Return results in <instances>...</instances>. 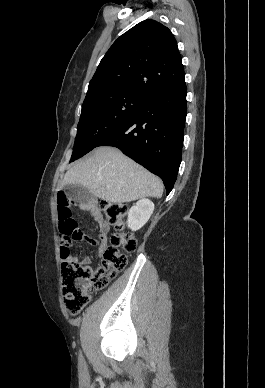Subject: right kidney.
I'll return each mask as SVG.
<instances>
[{
	"label": "right kidney",
	"instance_id": "right-kidney-1",
	"mask_svg": "<svg viewBox=\"0 0 265 388\" xmlns=\"http://www.w3.org/2000/svg\"><path fill=\"white\" fill-rule=\"evenodd\" d=\"M154 212V204L151 200H139L136 202L135 206H132L129 210L128 214V228L132 230V232H136V230H140L146 222H148L150 216H152Z\"/></svg>",
	"mask_w": 265,
	"mask_h": 388
}]
</instances>
